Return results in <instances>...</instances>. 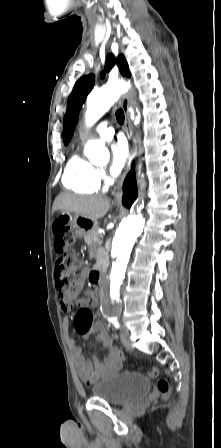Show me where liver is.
<instances>
[{"mask_svg":"<svg viewBox=\"0 0 221 448\" xmlns=\"http://www.w3.org/2000/svg\"><path fill=\"white\" fill-rule=\"evenodd\" d=\"M110 207V199L102 195L77 196L61 193L53 204V211L64 210L97 221L106 215Z\"/></svg>","mask_w":221,"mask_h":448,"instance_id":"liver-1","label":"liver"}]
</instances>
